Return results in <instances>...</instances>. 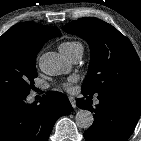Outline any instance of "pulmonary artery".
Wrapping results in <instances>:
<instances>
[{"label": "pulmonary artery", "instance_id": "e3ab8cb5", "mask_svg": "<svg viewBox=\"0 0 141 141\" xmlns=\"http://www.w3.org/2000/svg\"><path fill=\"white\" fill-rule=\"evenodd\" d=\"M82 55H83V49H77L66 57L70 59L72 62L77 63L81 60ZM96 102H98V100H96Z\"/></svg>", "mask_w": 141, "mask_h": 141}]
</instances>
